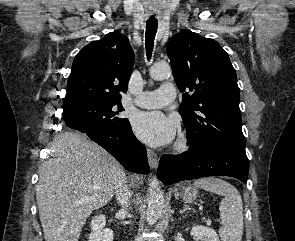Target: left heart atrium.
<instances>
[{
  "instance_id": "1",
  "label": "left heart atrium",
  "mask_w": 295,
  "mask_h": 241,
  "mask_svg": "<svg viewBox=\"0 0 295 241\" xmlns=\"http://www.w3.org/2000/svg\"><path fill=\"white\" fill-rule=\"evenodd\" d=\"M178 124L159 111L141 112L133 119L137 137L152 146L167 145L173 141Z\"/></svg>"
}]
</instances>
